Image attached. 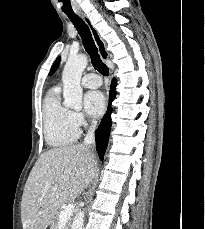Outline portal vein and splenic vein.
I'll list each match as a JSON object with an SVG mask.
<instances>
[{
  "mask_svg": "<svg viewBox=\"0 0 205 229\" xmlns=\"http://www.w3.org/2000/svg\"><path fill=\"white\" fill-rule=\"evenodd\" d=\"M53 190H57V187H53ZM74 209L73 204H68L65 209L60 213L59 215V222L60 223H65L68 221V219L72 216Z\"/></svg>",
  "mask_w": 205,
  "mask_h": 229,
  "instance_id": "18ae733b",
  "label": "portal vein and splenic vein"
}]
</instances>
